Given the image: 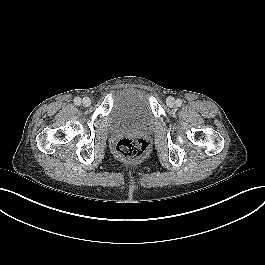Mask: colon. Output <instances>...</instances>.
<instances>
[{
    "label": "colon",
    "mask_w": 265,
    "mask_h": 265,
    "mask_svg": "<svg viewBox=\"0 0 265 265\" xmlns=\"http://www.w3.org/2000/svg\"><path fill=\"white\" fill-rule=\"evenodd\" d=\"M149 143L140 137L122 138L114 147V151L119 158L125 160H140L149 154Z\"/></svg>",
    "instance_id": "1"
}]
</instances>
